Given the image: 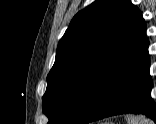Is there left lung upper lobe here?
<instances>
[{
    "mask_svg": "<svg viewBox=\"0 0 156 124\" xmlns=\"http://www.w3.org/2000/svg\"><path fill=\"white\" fill-rule=\"evenodd\" d=\"M145 34L141 11L129 0H97L79 11L47 76L48 124H78L105 78Z\"/></svg>",
    "mask_w": 156,
    "mask_h": 124,
    "instance_id": "1",
    "label": "left lung upper lobe"
}]
</instances>
